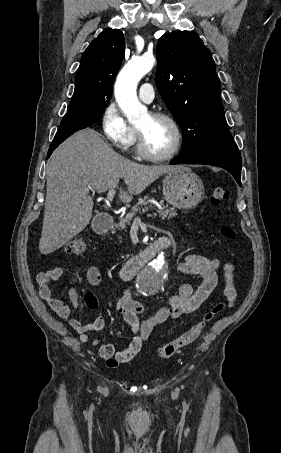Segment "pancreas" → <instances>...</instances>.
I'll return each mask as SVG.
<instances>
[{
    "label": "pancreas",
    "mask_w": 281,
    "mask_h": 453,
    "mask_svg": "<svg viewBox=\"0 0 281 453\" xmlns=\"http://www.w3.org/2000/svg\"><path fill=\"white\" fill-rule=\"evenodd\" d=\"M147 198L148 196H144V198H138L137 204H134V206H132L130 212H128L126 216H123V218H120L118 224H114V229H119V231L126 229V224H131L132 216H134L136 212H140L142 204H144V208H142L143 212H145V210H149V208H153V204H149V206H147L148 202H150V200H147ZM160 204L162 208H164V210H160V208H158L157 212H159V216H162V218H165V216L172 218V216H175V214H177L176 210H174V206H170V208H168V206H164L162 202H160ZM157 212H152V214H147V216H157Z\"/></svg>",
    "instance_id": "obj_1"
}]
</instances>
